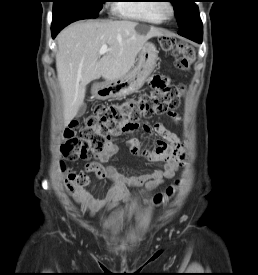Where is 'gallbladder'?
Instances as JSON below:
<instances>
[{"instance_id":"obj_1","label":"gallbladder","mask_w":258,"mask_h":275,"mask_svg":"<svg viewBox=\"0 0 258 275\" xmlns=\"http://www.w3.org/2000/svg\"><path fill=\"white\" fill-rule=\"evenodd\" d=\"M86 111V104H82L78 110L77 116H82Z\"/></svg>"}]
</instances>
